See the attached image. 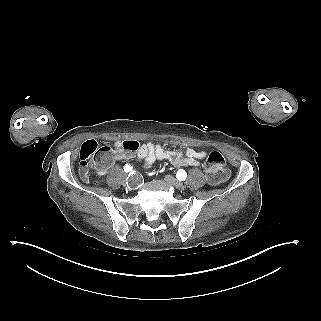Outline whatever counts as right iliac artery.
<instances>
[{
  "mask_svg": "<svg viewBox=\"0 0 321 321\" xmlns=\"http://www.w3.org/2000/svg\"><path fill=\"white\" fill-rule=\"evenodd\" d=\"M132 170V166H130V165H128V164H126L125 166H124V171L125 172H130Z\"/></svg>",
  "mask_w": 321,
  "mask_h": 321,
  "instance_id": "1",
  "label": "right iliac artery"
}]
</instances>
